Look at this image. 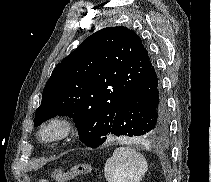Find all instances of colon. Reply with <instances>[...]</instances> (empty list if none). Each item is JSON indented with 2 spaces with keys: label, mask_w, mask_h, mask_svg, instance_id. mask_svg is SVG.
<instances>
[{
  "label": "colon",
  "mask_w": 211,
  "mask_h": 182,
  "mask_svg": "<svg viewBox=\"0 0 211 182\" xmlns=\"http://www.w3.org/2000/svg\"><path fill=\"white\" fill-rule=\"evenodd\" d=\"M92 171V166L88 162H83L75 165L67 171L56 170L53 172V177L58 182H67L77 176L89 174ZM39 182H48L45 179L40 180Z\"/></svg>",
  "instance_id": "colon-1"
}]
</instances>
